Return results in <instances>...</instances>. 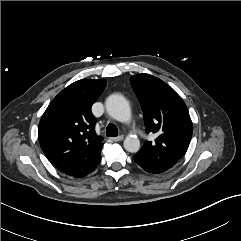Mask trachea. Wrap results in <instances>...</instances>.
<instances>
[{
  "label": "trachea",
  "mask_w": 241,
  "mask_h": 241,
  "mask_svg": "<svg viewBox=\"0 0 241 241\" xmlns=\"http://www.w3.org/2000/svg\"><path fill=\"white\" fill-rule=\"evenodd\" d=\"M106 134L108 137H116L118 135L117 127L112 123L108 124L106 128Z\"/></svg>",
  "instance_id": "3493384b"
}]
</instances>
